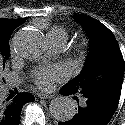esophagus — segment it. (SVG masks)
Here are the masks:
<instances>
[{
	"instance_id": "1",
	"label": "esophagus",
	"mask_w": 125,
	"mask_h": 125,
	"mask_svg": "<svg viewBox=\"0 0 125 125\" xmlns=\"http://www.w3.org/2000/svg\"><path fill=\"white\" fill-rule=\"evenodd\" d=\"M38 97L40 99H52L54 96L51 94L38 93Z\"/></svg>"
}]
</instances>
